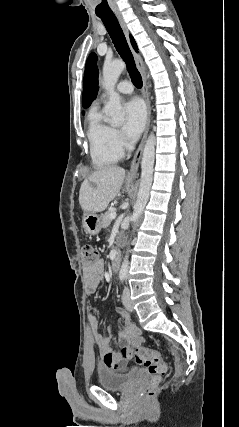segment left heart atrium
<instances>
[{"instance_id": "obj_1", "label": "left heart atrium", "mask_w": 239, "mask_h": 427, "mask_svg": "<svg viewBox=\"0 0 239 427\" xmlns=\"http://www.w3.org/2000/svg\"><path fill=\"white\" fill-rule=\"evenodd\" d=\"M125 111V124L124 133L130 140H136L142 133L145 122L146 112L143 103L139 99H132L124 106Z\"/></svg>"}]
</instances>
